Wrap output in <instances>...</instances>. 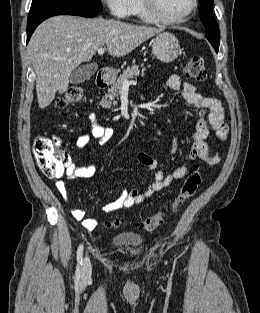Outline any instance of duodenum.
<instances>
[{"label":"duodenum","mask_w":260,"mask_h":313,"mask_svg":"<svg viewBox=\"0 0 260 313\" xmlns=\"http://www.w3.org/2000/svg\"><path fill=\"white\" fill-rule=\"evenodd\" d=\"M109 84V74L106 69H102L97 73L96 86L99 89L107 87Z\"/></svg>","instance_id":"obj_1"}]
</instances>
